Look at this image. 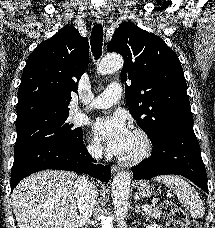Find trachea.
Wrapping results in <instances>:
<instances>
[{
  "instance_id": "1",
  "label": "trachea",
  "mask_w": 215,
  "mask_h": 228,
  "mask_svg": "<svg viewBox=\"0 0 215 228\" xmlns=\"http://www.w3.org/2000/svg\"><path fill=\"white\" fill-rule=\"evenodd\" d=\"M103 45V27L95 25L91 32V49L95 60L99 59L102 55Z\"/></svg>"
}]
</instances>
